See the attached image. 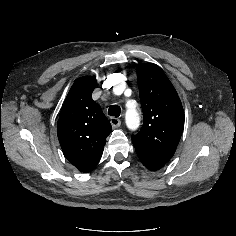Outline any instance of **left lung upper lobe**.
<instances>
[{"instance_id":"left-lung-upper-lobe-1","label":"left lung upper lobe","mask_w":236,"mask_h":236,"mask_svg":"<svg viewBox=\"0 0 236 236\" xmlns=\"http://www.w3.org/2000/svg\"><path fill=\"white\" fill-rule=\"evenodd\" d=\"M137 79L144 122L132 142L137 153L167 163L183 132L182 103L172 83L156 64L139 65Z\"/></svg>"}]
</instances>
